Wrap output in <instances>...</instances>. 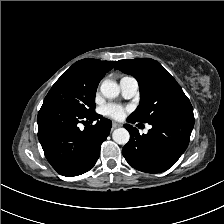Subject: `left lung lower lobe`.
Masks as SVG:
<instances>
[{
	"mask_svg": "<svg viewBox=\"0 0 224 224\" xmlns=\"http://www.w3.org/2000/svg\"><path fill=\"white\" fill-rule=\"evenodd\" d=\"M128 121H136L128 117ZM152 129L140 135L131 125L130 140L123 148L126 161L135 169L146 173H160L172 167L186 150L194 117L183 116L150 123Z\"/></svg>",
	"mask_w": 224,
	"mask_h": 224,
	"instance_id": "obj_1",
	"label": "left lung lower lobe"
}]
</instances>
